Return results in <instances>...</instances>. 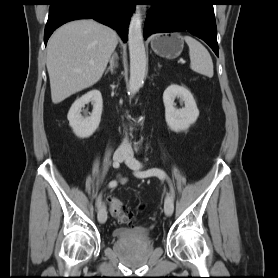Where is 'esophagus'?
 Listing matches in <instances>:
<instances>
[{"instance_id":"34e87169","label":"esophagus","mask_w":278,"mask_h":278,"mask_svg":"<svg viewBox=\"0 0 278 278\" xmlns=\"http://www.w3.org/2000/svg\"><path fill=\"white\" fill-rule=\"evenodd\" d=\"M139 9H141L143 12H145V8L144 7H138Z\"/></svg>"}]
</instances>
